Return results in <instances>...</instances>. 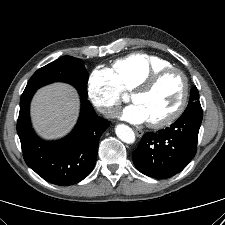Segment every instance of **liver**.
Returning a JSON list of instances; mask_svg holds the SVG:
<instances>
[{
	"instance_id": "6515ba94",
	"label": "liver",
	"mask_w": 225,
	"mask_h": 225,
	"mask_svg": "<svg viewBox=\"0 0 225 225\" xmlns=\"http://www.w3.org/2000/svg\"><path fill=\"white\" fill-rule=\"evenodd\" d=\"M80 109L79 96L66 83H53L40 88L31 103L34 129L44 139L65 136L74 127Z\"/></svg>"
}]
</instances>
